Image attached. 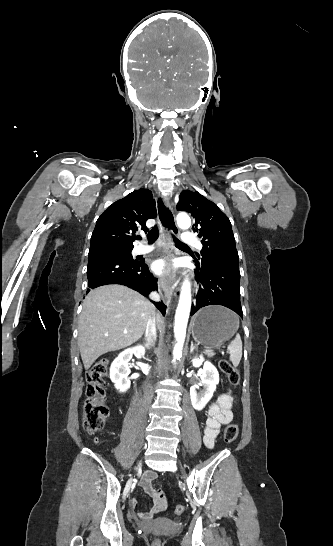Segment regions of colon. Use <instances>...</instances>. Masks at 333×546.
I'll use <instances>...</instances> for the list:
<instances>
[{
    "label": "colon",
    "mask_w": 333,
    "mask_h": 546,
    "mask_svg": "<svg viewBox=\"0 0 333 546\" xmlns=\"http://www.w3.org/2000/svg\"><path fill=\"white\" fill-rule=\"evenodd\" d=\"M108 360L102 359L96 362L87 372L86 400L83 410V428L87 434H94L105 424L107 418V407L104 401L105 384L108 376ZM219 368L227 377L231 385H238L240 373L229 361L221 360ZM239 433L237 424L231 423L224 430L223 439L226 443L236 440ZM185 508L179 504L175 507V515H181ZM153 546H161L159 540H155Z\"/></svg>",
    "instance_id": "1"
}]
</instances>
